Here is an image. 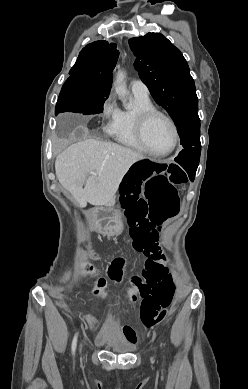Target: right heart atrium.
I'll use <instances>...</instances> for the list:
<instances>
[{
    "instance_id": "1",
    "label": "right heart atrium",
    "mask_w": 248,
    "mask_h": 389,
    "mask_svg": "<svg viewBox=\"0 0 248 389\" xmlns=\"http://www.w3.org/2000/svg\"><path fill=\"white\" fill-rule=\"evenodd\" d=\"M117 110H118V108H117L113 98L111 96H109L105 100L103 107H102V111H101V115H102L103 119L108 121V125L106 126V129L108 131H111Z\"/></svg>"
}]
</instances>
